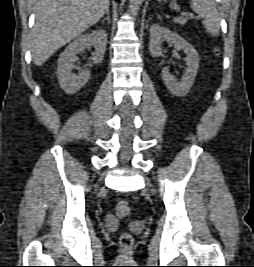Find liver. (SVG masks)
<instances>
[{
  "mask_svg": "<svg viewBox=\"0 0 254 267\" xmlns=\"http://www.w3.org/2000/svg\"><path fill=\"white\" fill-rule=\"evenodd\" d=\"M110 0H40L30 34L36 66L97 23L109 9Z\"/></svg>",
  "mask_w": 254,
  "mask_h": 267,
  "instance_id": "obj_1",
  "label": "liver"
}]
</instances>
